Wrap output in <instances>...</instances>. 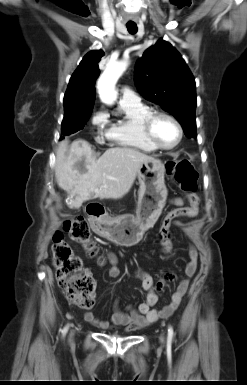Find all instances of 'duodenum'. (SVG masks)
Returning <instances> with one entry per match:
<instances>
[{
	"instance_id": "duodenum-1",
	"label": "duodenum",
	"mask_w": 247,
	"mask_h": 385,
	"mask_svg": "<svg viewBox=\"0 0 247 385\" xmlns=\"http://www.w3.org/2000/svg\"><path fill=\"white\" fill-rule=\"evenodd\" d=\"M105 211L103 207L98 203H92L88 209V214L92 217V228L95 231H98L99 228L104 226V224L107 222L105 221L103 215Z\"/></svg>"
}]
</instances>
